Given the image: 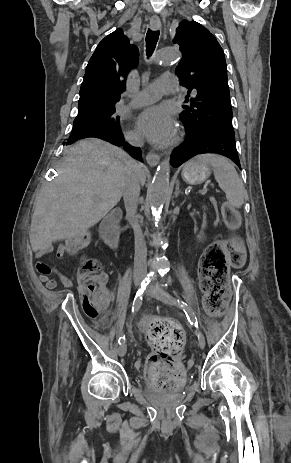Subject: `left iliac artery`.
I'll return each instance as SVG.
<instances>
[{
  "label": "left iliac artery",
  "mask_w": 291,
  "mask_h": 463,
  "mask_svg": "<svg viewBox=\"0 0 291 463\" xmlns=\"http://www.w3.org/2000/svg\"><path fill=\"white\" fill-rule=\"evenodd\" d=\"M178 304L181 306V308L183 309V311L185 312L187 318H188V321L191 323V324H194L195 327L198 328V321H197V318L195 316V314L192 312V310L189 308V306L187 305V303H185L184 301H181V300H177Z\"/></svg>",
  "instance_id": "obj_1"
}]
</instances>
